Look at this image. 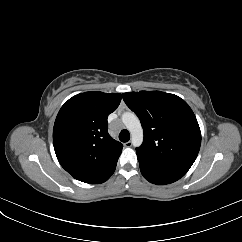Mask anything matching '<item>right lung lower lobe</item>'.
Here are the masks:
<instances>
[{"label":"right lung lower lobe","instance_id":"98d812e1","mask_svg":"<svg viewBox=\"0 0 242 242\" xmlns=\"http://www.w3.org/2000/svg\"><path fill=\"white\" fill-rule=\"evenodd\" d=\"M117 161H114L107 168H105L101 173H99L93 180L87 182L91 184L103 183L114 173Z\"/></svg>","mask_w":242,"mask_h":242}]
</instances>
